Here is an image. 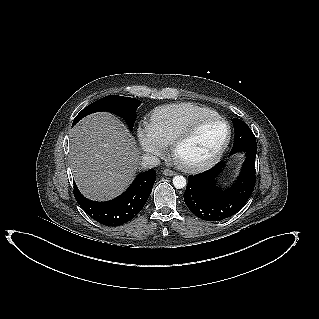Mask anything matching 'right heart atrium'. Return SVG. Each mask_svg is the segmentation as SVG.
Returning <instances> with one entry per match:
<instances>
[{
	"label": "right heart atrium",
	"instance_id": "obj_1",
	"mask_svg": "<svg viewBox=\"0 0 319 319\" xmlns=\"http://www.w3.org/2000/svg\"><path fill=\"white\" fill-rule=\"evenodd\" d=\"M136 135L141 149L150 157L164 156L167 144L154 132L151 125L141 122L136 129Z\"/></svg>",
	"mask_w": 319,
	"mask_h": 319
}]
</instances>
